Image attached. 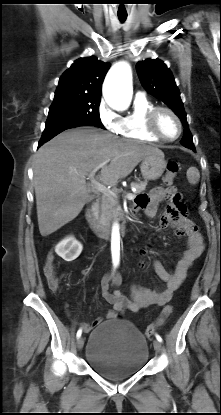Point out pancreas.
I'll return each mask as SVG.
<instances>
[{
	"label": "pancreas",
	"instance_id": "cf45deb5",
	"mask_svg": "<svg viewBox=\"0 0 221 415\" xmlns=\"http://www.w3.org/2000/svg\"><path fill=\"white\" fill-rule=\"evenodd\" d=\"M147 181L132 182L131 187L136 188L134 195L141 193L146 189ZM118 192V190H114ZM119 208V199L117 195L103 194L95 203V212L99 219L104 222H109L116 216Z\"/></svg>",
	"mask_w": 221,
	"mask_h": 415
}]
</instances>
